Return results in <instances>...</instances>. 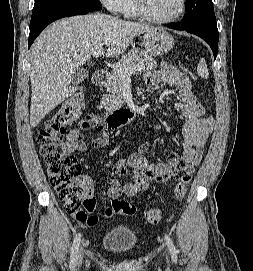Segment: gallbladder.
Listing matches in <instances>:
<instances>
[{
	"mask_svg": "<svg viewBox=\"0 0 253 271\" xmlns=\"http://www.w3.org/2000/svg\"><path fill=\"white\" fill-rule=\"evenodd\" d=\"M88 77V72L84 69L78 70L72 78L74 84H79Z\"/></svg>",
	"mask_w": 253,
	"mask_h": 271,
	"instance_id": "bac80fb5",
	"label": "gallbladder"
}]
</instances>
